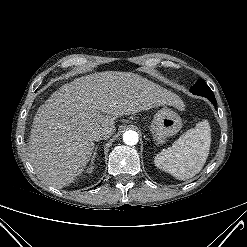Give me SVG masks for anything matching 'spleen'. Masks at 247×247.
Wrapping results in <instances>:
<instances>
[{
  "mask_svg": "<svg viewBox=\"0 0 247 247\" xmlns=\"http://www.w3.org/2000/svg\"><path fill=\"white\" fill-rule=\"evenodd\" d=\"M211 128L205 119L186 131L172 147L162 150L154 158L155 165L179 180L198 174L209 155Z\"/></svg>",
  "mask_w": 247,
  "mask_h": 247,
  "instance_id": "1",
  "label": "spleen"
}]
</instances>
